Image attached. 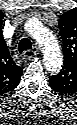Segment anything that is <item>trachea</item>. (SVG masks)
<instances>
[{"instance_id": "trachea-1", "label": "trachea", "mask_w": 77, "mask_h": 125, "mask_svg": "<svg viewBox=\"0 0 77 125\" xmlns=\"http://www.w3.org/2000/svg\"><path fill=\"white\" fill-rule=\"evenodd\" d=\"M28 49H32L31 41L28 38L21 39L18 46V50L20 51V53Z\"/></svg>"}]
</instances>
